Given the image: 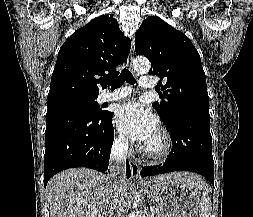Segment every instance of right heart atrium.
I'll return each instance as SVG.
<instances>
[{
  "label": "right heart atrium",
  "mask_w": 253,
  "mask_h": 217,
  "mask_svg": "<svg viewBox=\"0 0 253 217\" xmlns=\"http://www.w3.org/2000/svg\"><path fill=\"white\" fill-rule=\"evenodd\" d=\"M115 145L116 147L121 150V151H125L127 148V140L124 136L122 135H118L115 139Z\"/></svg>",
  "instance_id": "1"
}]
</instances>
